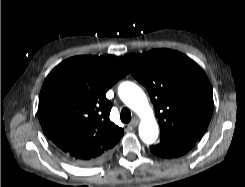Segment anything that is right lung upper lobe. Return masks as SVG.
Masks as SVG:
<instances>
[{"instance_id": "obj_1", "label": "right lung upper lobe", "mask_w": 245, "mask_h": 187, "mask_svg": "<svg viewBox=\"0 0 245 187\" xmlns=\"http://www.w3.org/2000/svg\"><path fill=\"white\" fill-rule=\"evenodd\" d=\"M128 74L116 56H76L56 66L40 92L38 117L44 134L70 161H91L110 152L123 129L109 119L105 94Z\"/></svg>"}]
</instances>
